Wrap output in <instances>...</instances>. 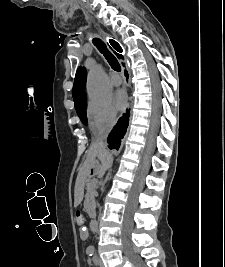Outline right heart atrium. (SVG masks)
<instances>
[{
	"label": "right heart atrium",
	"mask_w": 225,
	"mask_h": 267,
	"mask_svg": "<svg viewBox=\"0 0 225 267\" xmlns=\"http://www.w3.org/2000/svg\"><path fill=\"white\" fill-rule=\"evenodd\" d=\"M89 126L93 133L108 131L116 123V110L110 101L91 99L87 106Z\"/></svg>",
	"instance_id": "d8ad5b80"
}]
</instances>
